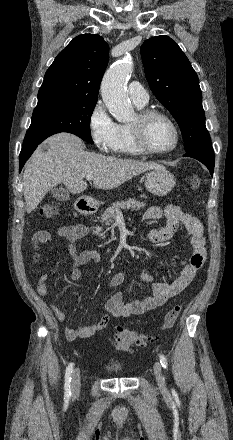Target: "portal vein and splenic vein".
Segmentation results:
<instances>
[{
  "instance_id": "obj_1",
  "label": "portal vein and splenic vein",
  "mask_w": 233,
  "mask_h": 440,
  "mask_svg": "<svg viewBox=\"0 0 233 440\" xmlns=\"http://www.w3.org/2000/svg\"><path fill=\"white\" fill-rule=\"evenodd\" d=\"M87 180H92L94 178V176L92 174H88L85 176ZM118 215H121V212L117 213Z\"/></svg>"
}]
</instances>
